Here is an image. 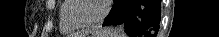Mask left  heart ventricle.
I'll use <instances>...</instances> for the list:
<instances>
[{
  "label": "left heart ventricle",
  "mask_w": 219,
  "mask_h": 37,
  "mask_svg": "<svg viewBox=\"0 0 219 37\" xmlns=\"http://www.w3.org/2000/svg\"><path fill=\"white\" fill-rule=\"evenodd\" d=\"M75 8L70 13V18L78 23L95 19L102 11L100 0H75Z\"/></svg>",
  "instance_id": "b2bd125f"
}]
</instances>
